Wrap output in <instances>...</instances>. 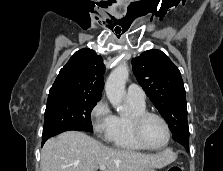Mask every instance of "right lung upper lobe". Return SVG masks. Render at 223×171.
I'll use <instances>...</instances> for the list:
<instances>
[{"mask_svg": "<svg viewBox=\"0 0 223 171\" xmlns=\"http://www.w3.org/2000/svg\"><path fill=\"white\" fill-rule=\"evenodd\" d=\"M105 66L101 56L91 49L74 53L60 70L48 95V100L60 97L99 99L104 86Z\"/></svg>", "mask_w": 223, "mask_h": 171, "instance_id": "obj_1", "label": "right lung upper lobe"}]
</instances>
